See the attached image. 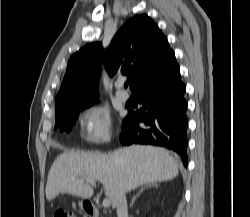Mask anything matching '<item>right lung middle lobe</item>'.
Wrapping results in <instances>:
<instances>
[{"label":"right lung middle lobe","instance_id":"right-lung-middle-lobe-1","mask_svg":"<svg viewBox=\"0 0 250 217\" xmlns=\"http://www.w3.org/2000/svg\"><path fill=\"white\" fill-rule=\"evenodd\" d=\"M82 109L84 108L76 109L56 117L55 129L59 128L61 132L62 131L69 132L76 122V119L78 117V112L81 111Z\"/></svg>","mask_w":250,"mask_h":217}]
</instances>
